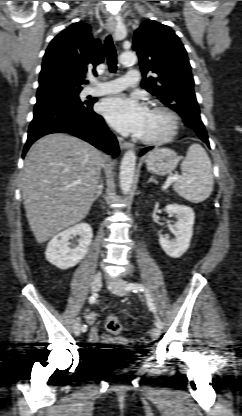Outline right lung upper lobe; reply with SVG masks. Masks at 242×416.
Segmentation results:
<instances>
[{"instance_id": "1", "label": "right lung upper lobe", "mask_w": 242, "mask_h": 416, "mask_svg": "<svg viewBox=\"0 0 242 416\" xmlns=\"http://www.w3.org/2000/svg\"><path fill=\"white\" fill-rule=\"evenodd\" d=\"M104 60V50L94 40L90 26L74 23L58 34L48 46L39 78L38 98L59 89H82L86 74Z\"/></svg>"}]
</instances>
